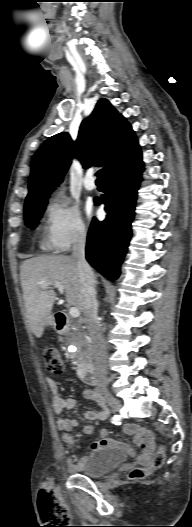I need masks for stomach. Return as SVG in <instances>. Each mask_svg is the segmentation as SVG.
<instances>
[{
  "instance_id": "obj_1",
  "label": "stomach",
  "mask_w": 192,
  "mask_h": 527,
  "mask_svg": "<svg viewBox=\"0 0 192 527\" xmlns=\"http://www.w3.org/2000/svg\"><path fill=\"white\" fill-rule=\"evenodd\" d=\"M47 325H51V326H55V321H54V318L53 316H49L48 319H47Z\"/></svg>"
}]
</instances>
